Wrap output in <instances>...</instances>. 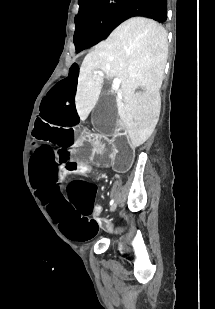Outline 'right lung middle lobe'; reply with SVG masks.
Here are the masks:
<instances>
[{"label": "right lung middle lobe", "mask_w": 215, "mask_h": 309, "mask_svg": "<svg viewBox=\"0 0 215 309\" xmlns=\"http://www.w3.org/2000/svg\"><path fill=\"white\" fill-rule=\"evenodd\" d=\"M131 0H79L74 44L76 52L105 39Z\"/></svg>", "instance_id": "1"}]
</instances>
